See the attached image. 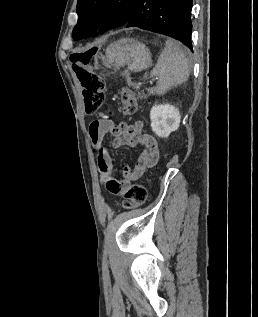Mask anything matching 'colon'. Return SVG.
Listing matches in <instances>:
<instances>
[{
  "label": "colon",
  "instance_id": "5ec220e1",
  "mask_svg": "<svg viewBox=\"0 0 258 317\" xmlns=\"http://www.w3.org/2000/svg\"><path fill=\"white\" fill-rule=\"evenodd\" d=\"M97 48H83L74 51L70 56L72 70L82 87L85 110L92 113L100 109L105 99L103 78L95 71ZM122 112L131 116L136 112V99L133 92L127 88L120 91ZM146 189L140 184H134L124 191L122 207L133 209L142 205L146 200Z\"/></svg>",
  "mask_w": 258,
  "mask_h": 317
}]
</instances>
